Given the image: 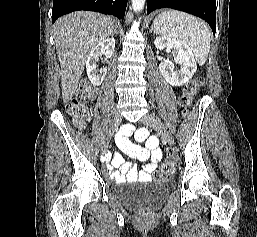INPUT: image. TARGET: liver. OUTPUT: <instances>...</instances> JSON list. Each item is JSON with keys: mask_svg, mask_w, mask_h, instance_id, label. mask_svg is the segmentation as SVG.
I'll return each mask as SVG.
<instances>
[{"mask_svg": "<svg viewBox=\"0 0 257 237\" xmlns=\"http://www.w3.org/2000/svg\"><path fill=\"white\" fill-rule=\"evenodd\" d=\"M116 29L115 19L90 11H77L56 21L55 42L61 66L62 98L65 103L76 92L91 50L112 36Z\"/></svg>", "mask_w": 257, "mask_h": 237, "instance_id": "obj_1", "label": "liver"}]
</instances>
